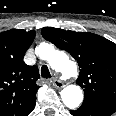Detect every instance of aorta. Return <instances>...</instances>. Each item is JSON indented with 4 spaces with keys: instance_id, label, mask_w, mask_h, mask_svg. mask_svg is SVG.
Returning a JSON list of instances; mask_svg holds the SVG:
<instances>
[{
    "instance_id": "aorta-1",
    "label": "aorta",
    "mask_w": 116,
    "mask_h": 116,
    "mask_svg": "<svg viewBox=\"0 0 116 116\" xmlns=\"http://www.w3.org/2000/svg\"><path fill=\"white\" fill-rule=\"evenodd\" d=\"M36 54L49 62L51 67L65 78L76 75L77 67L73 61L63 52H55L53 47L43 43L36 48ZM61 99L70 109L77 108L83 101V92L77 85L66 86L61 91Z\"/></svg>"
}]
</instances>
